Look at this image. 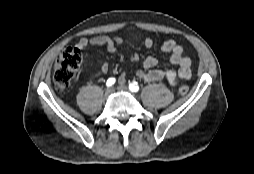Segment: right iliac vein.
Returning <instances> with one entry per match:
<instances>
[{"label":"right iliac vein","instance_id":"1","mask_svg":"<svg viewBox=\"0 0 254 174\" xmlns=\"http://www.w3.org/2000/svg\"><path fill=\"white\" fill-rule=\"evenodd\" d=\"M114 92V89L113 88H108L105 92V97L108 98L110 97Z\"/></svg>","mask_w":254,"mask_h":174}]
</instances>
